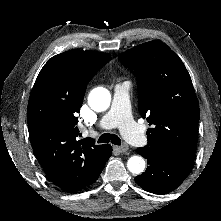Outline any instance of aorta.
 Returning a JSON list of instances; mask_svg holds the SVG:
<instances>
[{
  "label": "aorta",
  "mask_w": 221,
  "mask_h": 221,
  "mask_svg": "<svg viewBox=\"0 0 221 221\" xmlns=\"http://www.w3.org/2000/svg\"><path fill=\"white\" fill-rule=\"evenodd\" d=\"M111 95L106 88L93 89L88 97V104L96 112H102L109 108ZM127 168L133 174H141L145 169V160L141 156H132L127 161Z\"/></svg>",
  "instance_id": "762f6f07"
}]
</instances>
